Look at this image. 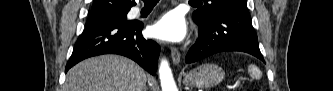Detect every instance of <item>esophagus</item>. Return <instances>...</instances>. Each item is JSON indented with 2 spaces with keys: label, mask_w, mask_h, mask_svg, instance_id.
<instances>
[{
  "label": "esophagus",
  "mask_w": 333,
  "mask_h": 91,
  "mask_svg": "<svg viewBox=\"0 0 333 91\" xmlns=\"http://www.w3.org/2000/svg\"><path fill=\"white\" fill-rule=\"evenodd\" d=\"M171 57L172 61L175 65H178L181 59V54L176 47L171 48Z\"/></svg>",
  "instance_id": "obj_1"
}]
</instances>
